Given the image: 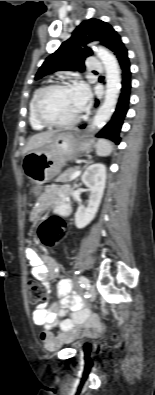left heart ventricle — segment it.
Wrapping results in <instances>:
<instances>
[{
	"label": "left heart ventricle",
	"mask_w": 155,
	"mask_h": 395,
	"mask_svg": "<svg viewBox=\"0 0 155 395\" xmlns=\"http://www.w3.org/2000/svg\"><path fill=\"white\" fill-rule=\"evenodd\" d=\"M42 114L51 121L67 122L79 115L73 88L57 89L45 95L41 102Z\"/></svg>",
	"instance_id": "1"
}]
</instances>
